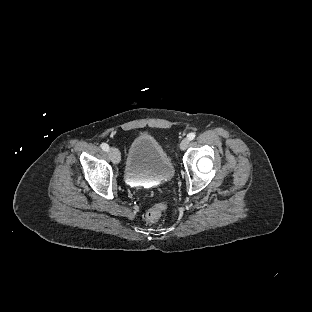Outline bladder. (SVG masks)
<instances>
[{"label": "bladder", "instance_id": "1", "mask_svg": "<svg viewBox=\"0 0 312 312\" xmlns=\"http://www.w3.org/2000/svg\"><path fill=\"white\" fill-rule=\"evenodd\" d=\"M173 170L170 156L151 134H138L131 140L125 160L127 177L167 180Z\"/></svg>", "mask_w": 312, "mask_h": 312}]
</instances>
